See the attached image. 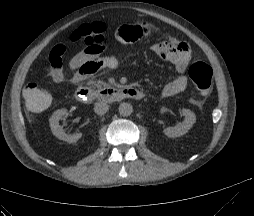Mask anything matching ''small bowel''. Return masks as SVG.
I'll list each match as a JSON object with an SVG mask.
<instances>
[{"instance_id": "1", "label": "small bowel", "mask_w": 254, "mask_h": 216, "mask_svg": "<svg viewBox=\"0 0 254 216\" xmlns=\"http://www.w3.org/2000/svg\"><path fill=\"white\" fill-rule=\"evenodd\" d=\"M159 32L160 27L148 21L121 24L116 29L115 39L120 44H127ZM150 49L170 61L179 73L173 81L164 86L161 92L162 96L171 97L183 92L188 85L184 72L191 59L190 46L170 33H162L158 36L157 43L150 45ZM63 53V46L57 45L52 49L49 56V75L55 84H62L65 81ZM118 65L119 57L117 55H101V51L96 48L86 47L69 61L70 81L73 84H80L101 69H115Z\"/></svg>"}]
</instances>
